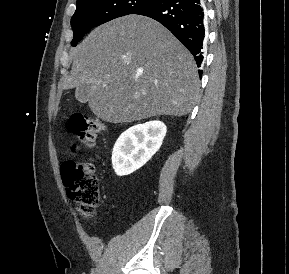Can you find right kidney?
<instances>
[{
    "label": "right kidney",
    "mask_w": 289,
    "mask_h": 274,
    "mask_svg": "<svg viewBox=\"0 0 289 274\" xmlns=\"http://www.w3.org/2000/svg\"><path fill=\"white\" fill-rule=\"evenodd\" d=\"M166 132V125L158 120L137 124L124 131L112 152L115 173L129 175L146 164L161 147Z\"/></svg>",
    "instance_id": "right-kidney-1"
}]
</instances>
